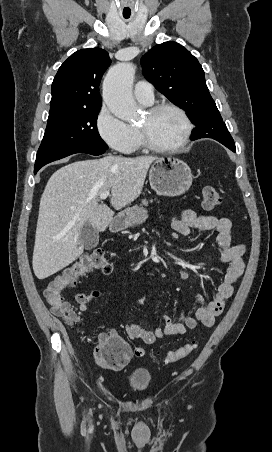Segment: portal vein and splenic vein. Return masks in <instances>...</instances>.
I'll use <instances>...</instances> for the list:
<instances>
[{"instance_id":"portal-vein-and-splenic-vein-1","label":"portal vein and splenic vein","mask_w":272,"mask_h":452,"mask_svg":"<svg viewBox=\"0 0 272 452\" xmlns=\"http://www.w3.org/2000/svg\"><path fill=\"white\" fill-rule=\"evenodd\" d=\"M109 195H110V191H105V192L100 194L99 199L100 200H105Z\"/></svg>"}]
</instances>
